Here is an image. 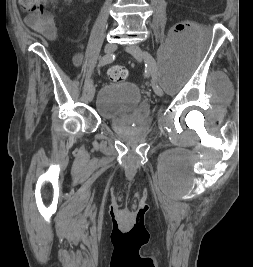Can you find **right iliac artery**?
Returning <instances> with one entry per match:
<instances>
[{"instance_id":"obj_1","label":"right iliac artery","mask_w":253,"mask_h":267,"mask_svg":"<svg viewBox=\"0 0 253 267\" xmlns=\"http://www.w3.org/2000/svg\"><path fill=\"white\" fill-rule=\"evenodd\" d=\"M114 60H115V55L114 54H107V55L103 56L100 59L98 67L99 66H104L106 64H109V63L113 62ZM86 85H87V89L90 86H92V80L90 78L87 80Z\"/></svg>"}]
</instances>
